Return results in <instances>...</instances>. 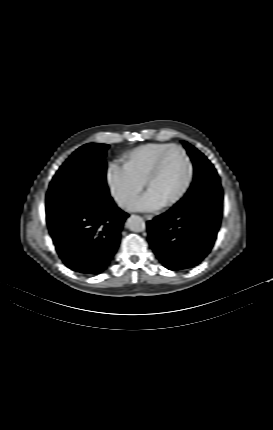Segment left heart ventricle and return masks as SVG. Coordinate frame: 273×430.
I'll return each instance as SVG.
<instances>
[{"label": "left heart ventricle", "mask_w": 273, "mask_h": 430, "mask_svg": "<svg viewBox=\"0 0 273 430\" xmlns=\"http://www.w3.org/2000/svg\"><path fill=\"white\" fill-rule=\"evenodd\" d=\"M188 167L181 152H169L163 162L159 175L151 182L152 191L164 204L170 201L184 186Z\"/></svg>", "instance_id": "obj_1"}]
</instances>
